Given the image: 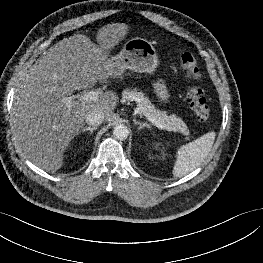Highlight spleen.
<instances>
[{
	"instance_id": "obj_1",
	"label": "spleen",
	"mask_w": 263,
	"mask_h": 263,
	"mask_svg": "<svg viewBox=\"0 0 263 263\" xmlns=\"http://www.w3.org/2000/svg\"><path fill=\"white\" fill-rule=\"evenodd\" d=\"M215 140L211 131L200 138L181 146L177 150L176 161L172 170L174 177H183L199 167L210 153Z\"/></svg>"
}]
</instances>
